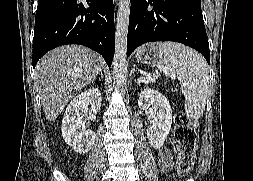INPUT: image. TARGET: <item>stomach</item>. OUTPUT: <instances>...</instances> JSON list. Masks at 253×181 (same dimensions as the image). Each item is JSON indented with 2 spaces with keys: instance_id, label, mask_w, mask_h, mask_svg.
<instances>
[{
  "instance_id": "0dacf381",
  "label": "stomach",
  "mask_w": 253,
  "mask_h": 181,
  "mask_svg": "<svg viewBox=\"0 0 253 181\" xmlns=\"http://www.w3.org/2000/svg\"><path fill=\"white\" fill-rule=\"evenodd\" d=\"M136 59L140 63L156 66L159 62L158 43H149L140 47L136 53Z\"/></svg>"
}]
</instances>
